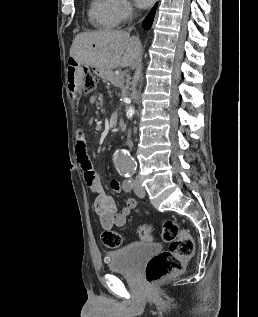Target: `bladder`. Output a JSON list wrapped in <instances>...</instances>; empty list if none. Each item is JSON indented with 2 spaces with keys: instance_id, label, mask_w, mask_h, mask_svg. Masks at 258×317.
Wrapping results in <instances>:
<instances>
[{
  "instance_id": "obj_1",
  "label": "bladder",
  "mask_w": 258,
  "mask_h": 317,
  "mask_svg": "<svg viewBox=\"0 0 258 317\" xmlns=\"http://www.w3.org/2000/svg\"><path fill=\"white\" fill-rule=\"evenodd\" d=\"M158 243L134 242L107 255L108 265L112 271H132L147 258L161 253Z\"/></svg>"
}]
</instances>
